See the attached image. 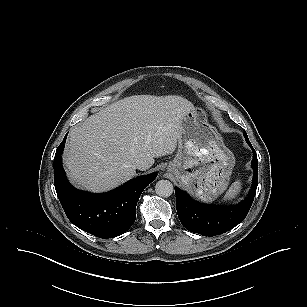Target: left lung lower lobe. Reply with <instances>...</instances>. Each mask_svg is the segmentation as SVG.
<instances>
[{"instance_id": "obj_1", "label": "left lung lower lobe", "mask_w": 307, "mask_h": 307, "mask_svg": "<svg viewBox=\"0 0 307 307\" xmlns=\"http://www.w3.org/2000/svg\"><path fill=\"white\" fill-rule=\"evenodd\" d=\"M247 143L253 149L251 166L254 175L249 195L240 204L230 207L205 205L193 200L186 192L175 188L178 217L188 231L203 236H215L231 230L245 219L258 185L257 154L251 143Z\"/></svg>"}]
</instances>
